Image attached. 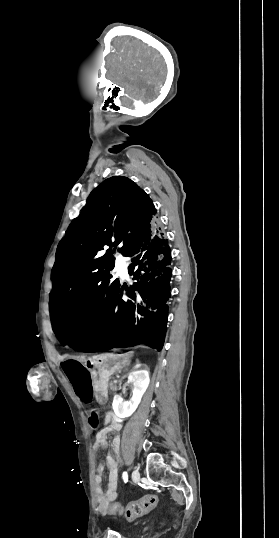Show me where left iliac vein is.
<instances>
[{
  "instance_id": "obj_1",
  "label": "left iliac vein",
  "mask_w": 279,
  "mask_h": 538,
  "mask_svg": "<svg viewBox=\"0 0 279 538\" xmlns=\"http://www.w3.org/2000/svg\"><path fill=\"white\" fill-rule=\"evenodd\" d=\"M132 480H133L134 483L139 482V480H140V473H139L138 470H133V472H132Z\"/></svg>"
}]
</instances>
